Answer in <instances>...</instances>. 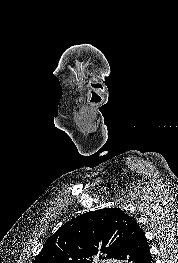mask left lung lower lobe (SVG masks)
Masks as SVG:
<instances>
[{
	"label": "left lung lower lobe",
	"mask_w": 178,
	"mask_h": 263,
	"mask_svg": "<svg viewBox=\"0 0 178 263\" xmlns=\"http://www.w3.org/2000/svg\"><path fill=\"white\" fill-rule=\"evenodd\" d=\"M122 263H154L144 232L134 219L114 257Z\"/></svg>",
	"instance_id": "1"
}]
</instances>
